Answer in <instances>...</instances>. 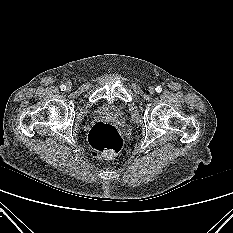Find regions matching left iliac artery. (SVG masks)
I'll return each mask as SVG.
<instances>
[{"mask_svg":"<svg viewBox=\"0 0 233 233\" xmlns=\"http://www.w3.org/2000/svg\"><path fill=\"white\" fill-rule=\"evenodd\" d=\"M155 90L157 93H160L162 91V88L160 86H157Z\"/></svg>","mask_w":233,"mask_h":233,"instance_id":"1","label":"left iliac artery"}]
</instances>
